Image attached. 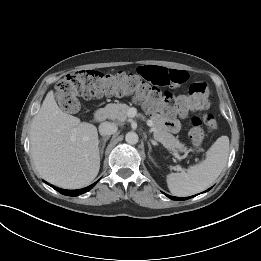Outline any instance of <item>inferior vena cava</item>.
Masks as SVG:
<instances>
[{"instance_id": "1", "label": "inferior vena cava", "mask_w": 261, "mask_h": 261, "mask_svg": "<svg viewBox=\"0 0 261 261\" xmlns=\"http://www.w3.org/2000/svg\"><path fill=\"white\" fill-rule=\"evenodd\" d=\"M118 127L115 123L103 122L99 126V132L102 136H109L117 131Z\"/></svg>"}]
</instances>
